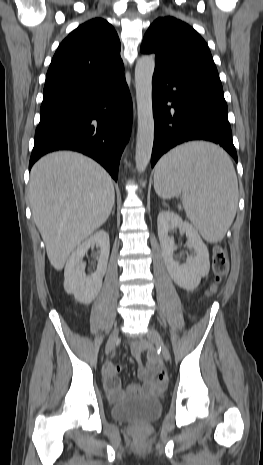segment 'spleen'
<instances>
[{"label":"spleen","mask_w":263,"mask_h":465,"mask_svg":"<svg viewBox=\"0 0 263 465\" xmlns=\"http://www.w3.org/2000/svg\"><path fill=\"white\" fill-rule=\"evenodd\" d=\"M158 196L181 195L186 215L202 237L221 241L238 204V181L229 156L216 145L193 142L164 155L154 174Z\"/></svg>","instance_id":"obj_1"}]
</instances>
